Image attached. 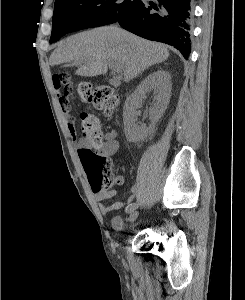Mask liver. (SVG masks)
<instances>
[{
	"label": "liver",
	"mask_w": 245,
	"mask_h": 300,
	"mask_svg": "<svg viewBox=\"0 0 245 300\" xmlns=\"http://www.w3.org/2000/svg\"><path fill=\"white\" fill-rule=\"evenodd\" d=\"M168 57L169 51L163 44L145 40L117 26H105L62 41L52 52L50 64L72 61L78 65L76 75L94 77L106 74L112 62L123 71L124 81L129 82Z\"/></svg>",
	"instance_id": "1"
}]
</instances>
